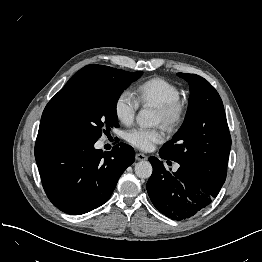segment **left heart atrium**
<instances>
[{
  "label": "left heart atrium",
  "mask_w": 262,
  "mask_h": 262,
  "mask_svg": "<svg viewBox=\"0 0 262 262\" xmlns=\"http://www.w3.org/2000/svg\"><path fill=\"white\" fill-rule=\"evenodd\" d=\"M125 137L134 147L149 151L154 148L155 144L164 139V131L160 126L155 128H133L126 132Z\"/></svg>",
  "instance_id": "obj_1"
}]
</instances>
